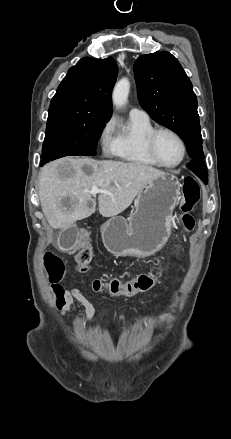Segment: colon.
Returning a JSON list of instances; mask_svg holds the SVG:
<instances>
[{
	"instance_id": "1",
	"label": "colon",
	"mask_w": 231,
	"mask_h": 439,
	"mask_svg": "<svg viewBox=\"0 0 231 439\" xmlns=\"http://www.w3.org/2000/svg\"><path fill=\"white\" fill-rule=\"evenodd\" d=\"M200 199V190L197 182L187 177L183 184L182 198L179 203L181 211L180 222L184 230L190 231L193 228V218L189 212L194 208ZM87 238L82 236L78 243V250L75 256L77 269L79 272L84 273L88 270L93 257L92 248L86 244ZM47 254V251H44ZM45 267L48 274L49 282L51 283L52 290L55 294L56 304L50 306V311L58 313L61 310V296L63 294V288L60 285L61 280L65 274V265L61 258L55 254H48L44 260ZM162 273L161 267L150 268L149 270H141L139 276L128 280L122 281L119 279H101L97 278L92 281V288L96 292H104L112 297L126 296L127 298H134L139 292H143L148 288H151L155 282L159 280L158 274Z\"/></svg>"
}]
</instances>
